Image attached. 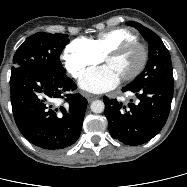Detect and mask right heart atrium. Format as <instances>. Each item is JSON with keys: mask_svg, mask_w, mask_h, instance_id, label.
I'll use <instances>...</instances> for the list:
<instances>
[{"mask_svg": "<svg viewBox=\"0 0 187 187\" xmlns=\"http://www.w3.org/2000/svg\"><path fill=\"white\" fill-rule=\"evenodd\" d=\"M63 60L69 73L74 78H81L97 66L102 58L93 50L87 39L79 38L65 47Z\"/></svg>", "mask_w": 187, "mask_h": 187, "instance_id": "1", "label": "right heart atrium"}]
</instances>
